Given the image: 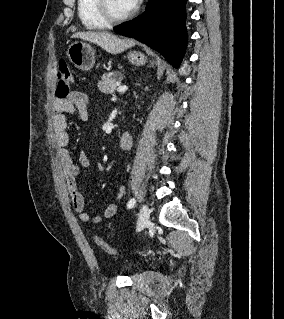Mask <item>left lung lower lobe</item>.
Wrapping results in <instances>:
<instances>
[{"mask_svg":"<svg viewBox=\"0 0 284 319\" xmlns=\"http://www.w3.org/2000/svg\"><path fill=\"white\" fill-rule=\"evenodd\" d=\"M186 1L151 0L142 16L115 27L114 31L145 43L179 67L187 44Z\"/></svg>","mask_w":284,"mask_h":319,"instance_id":"1","label":"left lung lower lobe"}]
</instances>
